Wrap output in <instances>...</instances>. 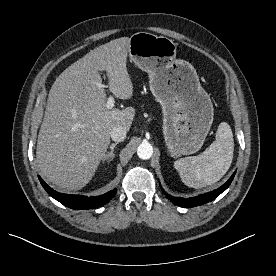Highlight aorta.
I'll return each instance as SVG.
<instances>
[{"instance_id": "1", "label": "aorta", "mask_w": 276, "mask_h": 276, "mask_svg": "<svg viewBox=\"0 0 276 276\" xmlns=\"http://www.w3.org/2000/svg\"><path fill=\"white\" fill-rule=\"evenodd\" d=\"M137 155L142 160H148L153 155V147L148 142H143L138 146Z\"/></svg>"}]
</instances>
